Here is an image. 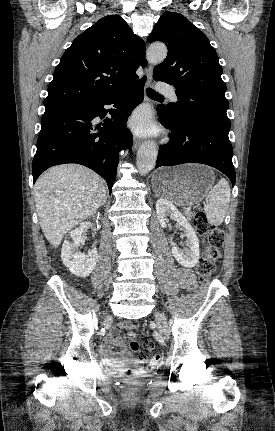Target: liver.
Instances as JSON below:
<instances>
[{
    "label": "liver",
    "instance_id": "obj_1",
    "mask_svg": "<svg viewBox=\"0 0 275 431\" xmlns=\"http://www.w3.org/2000/svg\"><path fill=\"white\" fill-rule=\"evenodd\" d=\"M34 199L44 236L57 248L69 230L102 205L106 199L105 182L82 165H59L37 180Z\"/></svg>",
    "mask_w": 275,
    "mask_h": 431
}]
</instances>
